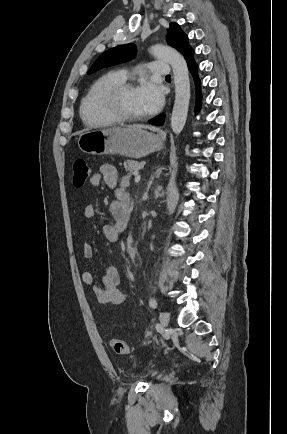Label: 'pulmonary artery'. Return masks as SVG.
Here are the masks:
<instances>
[{"mask_svg": "<svg viewBox=\"0 0 287 434\" xmlns=\"http://www.w3.org/2000/svg\"><path fill=\"white\" fill-rule=\"evenodd\" d=\"M146 69L149 71L150 74L154 75H163L166 76L169 74V64L162 63V62H150L146 66ZM124 78H127L128 73L127 71L121 72Z\"/></svg>", "mask_w": 287, "mask_h": 434, "instance_id": "1", "label": "pulmonary artery"}]
</instances>
